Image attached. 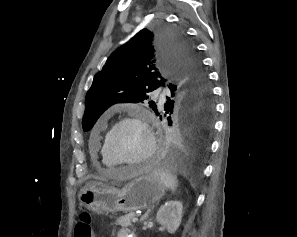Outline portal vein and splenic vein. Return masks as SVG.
Instances as JSON below:
<instances>
[{"instance_id":"portal-vein-and-splenic-vein-1","label":"portal vein and splenic vein","mask_w":297,"mask_h":237,"mask_svg":"<svg viewBox=\"0 0 297 237\" xmlns=\"http://www.w3.org/2000/svg\"><path fill=\"white\" fill-rule=\"evenodd\" d=\"M138 221V218L137 217H134L133 219H132V222L133 223H135V222H137Z\"/></svg>"}]
</instances>
